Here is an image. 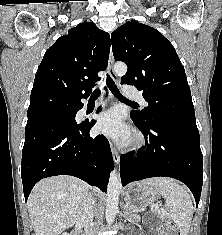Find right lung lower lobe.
I'll return each mask as SVG.
<instances>
[{"mask_svg": "<svg viewBox=\"0 0 222 235\" xmlns=\"http://www.w3.org/2000/svg\"><path fill=\"white\" fill-rule=\"evenodd\" d=\"M81 99L56 111L73 120L67 128L45 130L25 139L21 163L25 201L39 180L56 175H72L107 191L114 167L109 142L103 135L90 137L96 120L76 123V113L83 107Z\"/></svg>", "mask_w": 222, "mask_h": 235, "instance_id": "obj_1", "label": "right lung lower lobe"}]
</instances>
